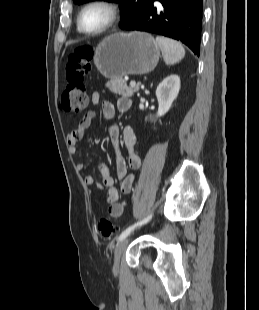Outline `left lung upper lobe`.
Returning a JSON list of instances; mask_svg holds the SVG:
<instances>
[{
  "instance_id": "left-lung-upper-lobe-1",
  "label": "left lung upper lobe",
  "mask_w": 259,
  "mask_h": 310,
  "mask_svg": "<svg viewBox=\"0 0 259 310\" xmlns=\"http://www.w3.org/2000/svg\"><path fill=\"white\" fill-rule=\"evenodd\" d=\"M76 4H82L87 3L94 0H73ZM109 2H118L120 4L122 17L120 26L131 21L135 17H137L139 14L142 13V11L145 9V7L148 5L150 0H105Z\"/></svg>"
}]
</instances>
